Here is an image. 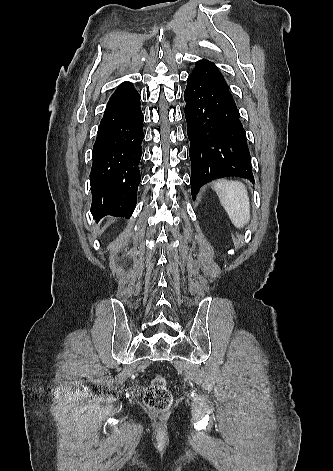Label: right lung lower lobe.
Listing matches in <instances>:
<instances>
[{
  "label": "right lung lower lobe",
  "instance_id": "1",
  "mask_svg": "<svg viewBox=\"0 0 333 471\" xmlns=\"http://www.w3.org/2000/svg\"><path fill=\"white\" fill-rule=\"evenodd\" d=\"M140 96L123 82L110 97L92 151L90 183L95 218H130L141 181L139 163L144 138Z\"/></svg>",
  "mask_w": 333,
  "mask_h": 471
}]
</instances>
